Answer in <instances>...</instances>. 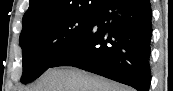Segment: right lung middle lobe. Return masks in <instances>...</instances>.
<instances>
[{"label":"right lung middle lobe","mask_w":173,"mask_h":91,"mask_svg":"<svg viewBox=\"0 0 173 91\" xmlns=\"http://www.w3.org/2000/svg\"><path fill=\"white\" fill-rule=\"evenodd\" d=\"M93 14L94 10L72 13L24 28L20 35L22 83L38 78L74 45L90 26Z\"/></svg>","instance_id":"1"}]
</instances>
